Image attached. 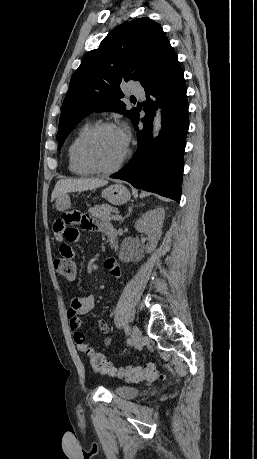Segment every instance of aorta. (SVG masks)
Listing matches in <instances>:
<instances>
[{"mask_svg":"<svg viewBox=\"0 0 257 459\" xmlns=\"http://www.w3.org/2000/svg\"><path fill=\"white\" fill-rule=\"evenodd\" d=\"M161 129V110L156 111L153 122V136L156 137Z\"/></svg>","mask_w":257,"mask_h":459,"instance_id":"1","label":"aorta"}]
</instances>
